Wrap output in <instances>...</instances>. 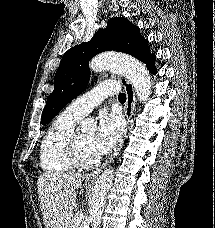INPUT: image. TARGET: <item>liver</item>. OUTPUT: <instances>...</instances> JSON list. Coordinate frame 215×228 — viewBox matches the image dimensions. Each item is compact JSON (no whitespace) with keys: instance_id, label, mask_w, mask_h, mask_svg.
I'll list each match as a JSON object with an SVG mask.
<instances>
[{"instance_id":"1","label":"liver","mask_w":215,"mask_h":228,"mask_svg":"<svg viewBox=\"0 0 215 228\" xmlns=\"http://www.w3.org/2000/svg\"><path fill=\"white\" fill-rule=\"evenodd\" d=\"M81 174H42L37 180L40 210L45 228H72L76 190L82 186Z\"/></svg>"}]
</instances>
